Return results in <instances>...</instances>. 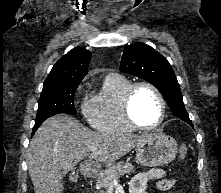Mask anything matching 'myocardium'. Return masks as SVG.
I'll use <instances>...</instances> for the list:
<instances>
[{
    "label": "myocardium",
    "mask_w": 221,
    "mask_h": 193,
    "mask_svg": "<svg viewBox=\"0 0 221 193\" xmlns=\"http://www.w3.org/2000/svg\"><path fill=\"white\" fill-rule=\"evenodd\" d=\"M140 87H147L151 89L155 95L157 96L160 106H161V114L158 119V121L151 125V126H143L140 125L136 120L134 119L132 115V110H131V103H132V98L134 96L135 91L140 88ZM122 110L124 117L126 121L134 128L142 131H154L157 130L162 126L166 119V114H167V104L165 101V98L162 94V92L159 90L158 87H156L154 84L148 82V81H138L135 83H132L129 85V87L126 89L123 99H122Z\"/></svg>",
    "instance_id": "obj_1"
}]
</instances>
